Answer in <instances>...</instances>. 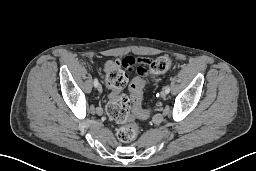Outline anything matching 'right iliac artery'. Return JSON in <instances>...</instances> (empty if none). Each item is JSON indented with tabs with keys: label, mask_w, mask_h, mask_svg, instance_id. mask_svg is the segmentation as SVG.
Here are the masks:
<instances>
[{
	"label": "right iliac artery",
	"mask_w": 256,
	"mask_h": 171,
	"mask_svg": "<svg viewBox=\"0 0 256 171\" xmlns=\"http://www.w3.org/2000/svg\"><path fill=\"white\" fill-rule=\"evenodd\" d=\"M98 85H99V82H98V80L95 78V79H94V86L97 87Z\"/></svg>",
	"instance_id": "right-iliac-artery-1"
}]
</instances>
